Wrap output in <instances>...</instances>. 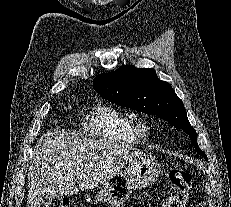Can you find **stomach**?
<instances>
[{
    "instance_id": "1",
    "label": "stomach",
    "mask_w": 231,
    "mask_h": 207,
    "mask_svg": "<svg viewBox=\"0 0 231 207\" xmlns=\"http://www.w3.org/2000/svg\"><path fill=\"white\" fill-rule=\"evenodd\" d=\"M161 164L151 156L142 154L128 163L126 172L119 171L106 180L94 202L120 207L133 190L152 184L159 176Z\"/></svg>"
}]
</instances>
